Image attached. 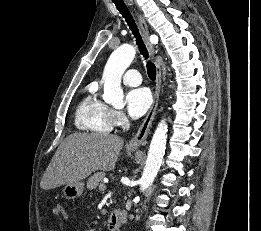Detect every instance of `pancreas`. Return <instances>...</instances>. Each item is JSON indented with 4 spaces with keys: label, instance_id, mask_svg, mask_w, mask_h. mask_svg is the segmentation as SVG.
<instances>
[{
    "label": "pancreas",
    "instance_id": "pancreas-1",
    "mask_svg": "<svg viewBox=\"0 0 261 231\" xmlns=\"http://www.w3.org/2000/svg\"><path fill=\"white\" fill-rule=\"evenodd\" d=\"M106 176L105 172H96L88 178L87 188L93 190L102 182L103 178ZM101 185V184H100ZM99 185V186H100Z\"/></svg>",
    "mask_w": 261,
    "mask_h": 231
}]
</instances>
